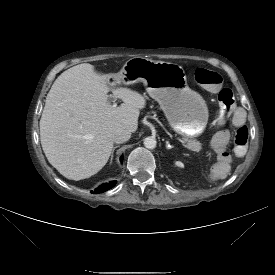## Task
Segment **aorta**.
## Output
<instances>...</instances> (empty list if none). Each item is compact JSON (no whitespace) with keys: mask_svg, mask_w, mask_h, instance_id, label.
Masks as SVG:
<instances>
[{"mask_svg":"<svg viewBox=\"0 0 275 275\" xmlns=\"http://www.w3.org/2000/svg\"><path fill=\"white\" fill-rule=\"evenodd\" d=\"M156 140L153 137H146L144 139V146L148 149H154L156 147Z\"/></svg>","mask_w":275,"mask_h":275,"instance_id":"aorta-1","label":"aorta"}]
</instances>
